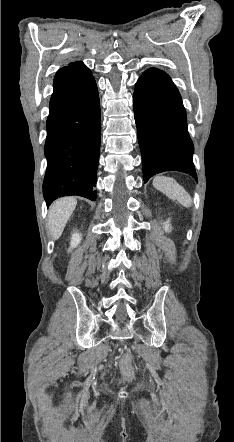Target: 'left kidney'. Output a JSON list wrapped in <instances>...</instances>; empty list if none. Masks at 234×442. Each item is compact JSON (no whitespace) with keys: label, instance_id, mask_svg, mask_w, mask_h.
<instances>
[{"label":"left kidney","instance_id":"1","mask_svg":"<svg viewBox=\"0 0 234 442\" xmlns=\"http://www.w3.org/2000/svg\"><path fill=\"white\" fill-rule=\"evenodd\" d=\"M164 229H165L166 232H170V231H171V226H170V224H169V220H167V221L164 223Z\"/></svg>","mask_w":234,"mask_h":442}]
</instances>
